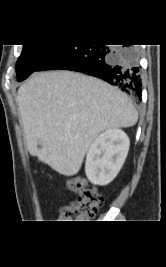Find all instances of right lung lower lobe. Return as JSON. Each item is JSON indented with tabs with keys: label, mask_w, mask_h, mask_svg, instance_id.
I'll return each instance as SVG.
<instances>
[{
	"label": "right lung lower lobe",
	"mask_w": 166,
	"mask_h": 267,
	"mask_svg": "<svg viewBox=\"0 0 166 267\" xmlns=\"http://www.w3.org/2000/svg\"><path fill=\"white\" fill-rule=\"evenodd\" d=\"M72 70L97 77L141 101L142 80L137 49L131 45H60L36 71Z\"/></svg>",
	"instance_id": "right-lung-lower-lobe-1"
}]
</instances>
